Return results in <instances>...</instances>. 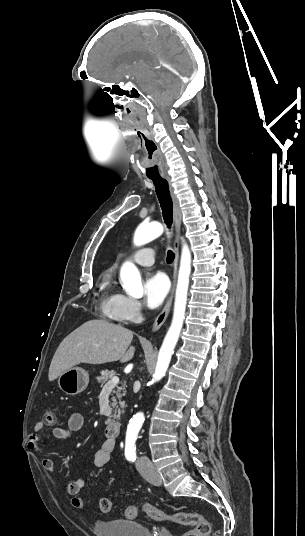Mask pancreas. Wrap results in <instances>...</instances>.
Instances as JSON below:
<instances>
[{
  "instance_id": "cf45deb5",
  "label": "pancreas",
  "mask_w": 305,
  "mask_h": 536,
  "mask_svg": "<svg viewBox=\"0 0 305 536\" xmlns=\"http://www.w3.org/2000/svg\"><path fill=\"white\" fill-rule=\"evenodd\" d=\"M114 376H115V372H108V370H102L101 376H97L96 380L98 384H101V388H103L104 384L108 382L109 378H114ZM124 390L125 388H118V390H113V394H111L112 396L111 400H113L112 408H114L113 410L114 418H120L121 414H123V408H124L125 402H119L120 408H121L120 410V408H118L117 400H120L122 396H126V392H124Z\"/></svg>"
}]
</instances>
